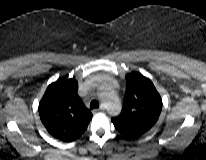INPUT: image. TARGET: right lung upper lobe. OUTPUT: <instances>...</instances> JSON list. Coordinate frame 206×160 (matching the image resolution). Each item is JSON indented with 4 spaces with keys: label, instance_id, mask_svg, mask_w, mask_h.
I'll list each match as a JSON object with an SVG mask.
<instances>
[{
    "label": "right lung upper lobe",
    "instance_id": "obj_1",
    "mask_svg": "<svg viewBox=\"0 0 206 160\" xmlns=\"http://www.w3.org/2000/svg\"><path fill=\"white\" fill-rule=\"evenodd\" d=\"M78 82L63 77L50 84L40 103V119L47 131L55 138L72 142L87 129L92 119L77 94Z\"/></svg>",
    "mask_w": 206,
    "mask_h": 160
}]
</instances>
